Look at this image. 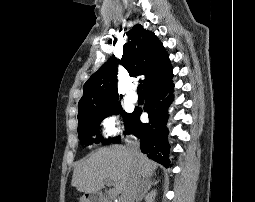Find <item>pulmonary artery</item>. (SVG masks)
<instances>
[{
  "instance_id": "pulmonary-artery-1",
  "label": "pulmonary artery",
  "mask_w": 255,
  "mask_h": 202,
  "mask_svg": "<svg viewBox=\"0 0 255 202\" xmlns=\"http://www.w3.org/2000/svg\"><path fill=\"white\" fill-rule=\"evenodd\" d=\"M127 97H128V100L132 103H136L138 101V96L134 91H130Z\"/></svg>"
}]
</instances>
